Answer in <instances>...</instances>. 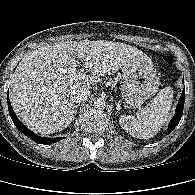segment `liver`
<instances>
[{
    "instance_id": "obj_1",
    "label": "liver",
    "mask_w": 195,
    "mask_h": 195,
    "mask_svg": "<svg viewBox=\"0 0 195 195\" xmlns=\"http://www.w3.org/2000/svg\"><path fill=\"white\" fill-rule=\"evenodd\" d=\"M146 54L112 41H66L42 46L24 56L12 76L10 100L18 118L41 134L62 131L74 120L73 91L90 88L101 76ZM84 59L90 74L77 73Z\"/></svg>"
}]
</instances>
